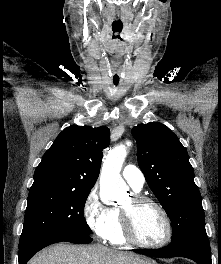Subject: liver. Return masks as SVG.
<instances>
[{"instance_id": "1", "label": "liver", "mask_w": 221, "mask_h": 264, "mask_svg": "<svg viewBox=\"0 0 221 264\" xmlns=\"http://www.w3.org/2000/svg\"><path fill=\"white\" fill-rule=\"evenodd\" d=\"M132 252L116 251L102 245L57 244L35 255L27 264H150Z\"/></svg>"}]
</instances>
